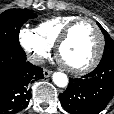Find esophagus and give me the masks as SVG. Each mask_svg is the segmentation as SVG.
Returning a JSON list of instances; mask_svg holds the SVG:
<instances>
[{
  "instance_id": "obj_1",
  "label": "esophagus",
  "mask_w": 114,
  "mask_h": 114,
  "mask_svg": "<svg viewBox=\"0 0 114 114\" xmlns=\"http://www.w3.org/2000/svg\"><path fill=\"white\" fill-rule=\"evenodd\" d=\"M43 75H44V77L48 78L52 75V71L48 70V69H44L43 70Z\"/></svg>"
}]
</instances>
